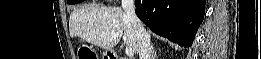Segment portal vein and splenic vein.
<instances>
[{"mask_svg":"<svg viewBox=\"0 0 261 59\" xmlns=\"http://www.w3.org/2000/svg\"><path fill=\"white\" fill-rule=\"evenodd\" d=\"M125 53H126L127 56L131 57V56L134 55V50H133V48H131V47H127V48L125 49Z\"/></svg>","mask_w":261,"mask_h":59,"instance_id":"18ae733b","label":"portal vein and splenic vein"}]
</instances>
